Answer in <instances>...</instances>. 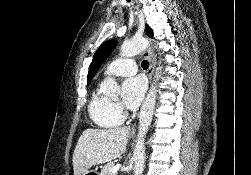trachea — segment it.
Returning a JSON list of instances; mask_svg holds the SVG:
<instances>
[{
	"label": "trachea",
	"mask_w": 251,
	"mask_h": 175,
	"mask_svg": "<svg viewBox=\"0 0 251 175\" xmlns=\"http://www.w3.org/2000/svg\"><path fill=\"white\" fill-rule=\"evenodd\" d=\"M128 1H130V0H128ZM142 68H144L145 70L148 68V61L147 60L142 61Z\"/></svg>",
	"instance_id": "3493384b"
}]
</instances>
